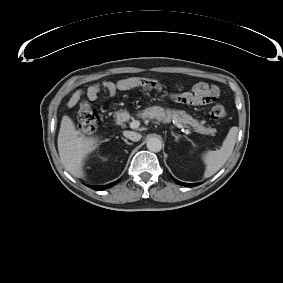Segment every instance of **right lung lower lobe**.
<instances>
[{"instance_id": "98d812e1", "label": "right lung lower lobe", "mask_w": 283, "mask_h": 283, "mask_svg": "<svg viewBox=\"0 0 283 283\" xmlns=\"http://www.w3.org/2000/svg\"><path fill=\"white\" fill-rule=\"evenodd\" d=\"M117 182H119V180L113 182V183H110V184H107V185H104V186H89L90 188L94 189V190H104L106 188H109L111 186H113L114 184H116Z\"/></svg>"}]
</instances>
